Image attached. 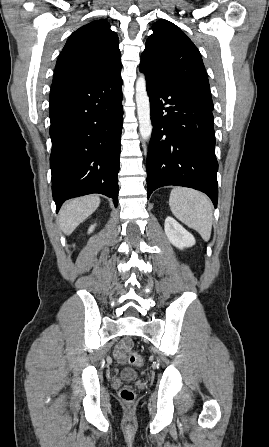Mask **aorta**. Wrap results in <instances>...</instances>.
<instances>
[{"label": "aorta", "instance_id": "762f6f07", "mask_svg": "<svg viewBox=\"0 0 269 447\" xmlns=\"http://www.w3.org/2000/svg\"><path fill=\"white\" fill-rule=\"evenodd\" d=\"M135 88L139 132L142 140L148 142L151 138L153 126L150 120V102L146 92V80L144 74H141L140 78H138Z\"/></svg>", "mask_w": 269, "mask_h": 447}]
</instances>
